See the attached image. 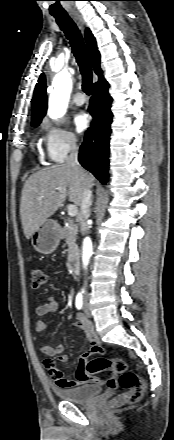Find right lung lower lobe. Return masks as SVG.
Returning <instances> with one entry per match:
<instances>
[{
  "instance_id": "obj_1",
  "label": "right lung lower lobe",
  "mask_w": 174,
  "mask_h": 440,
  "mask_svg": "<svg viewBox=\"0 0 174 440\" xmlns=\"http://www.w3.org/2000/svg\"><path fill=\"white\" fill-rule=\"evenodd\" d=\"M108 88L109 84L104 78L93 85L94 94L89 106L93 122L79 150L80 164L103 184L108 180L109 136L113 117Z\"/></svg>"
}]
</instances>
